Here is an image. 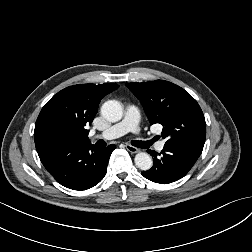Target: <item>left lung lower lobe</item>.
<instances>
[{
	"mask_svg": "<svg viewBox=\"0 0 252 252\" xmlns=\"http://www.w3.org/2000/svg\"><path fill=\"white\" fill-rule=\"evenodd\" d=\"M154 157L151 169L142 172L150 181L167 184L184 177L202 153V150L185 145L164 146L161 154L148 150ZM160 157H159V156Z\"/></svg>",
	"mask_w": 252,
	"mask_h": 252,
	"instance_id": "left-lung-lower-lobe-1",
	"label": "left lung lower lobe"
}]
</instances>
